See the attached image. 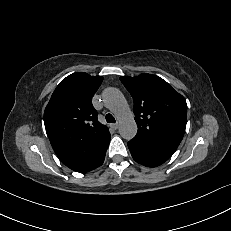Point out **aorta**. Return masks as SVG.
Wrapping results in <instances>:
<instances>
[{
	"label": "aorta",
	"instance_id": "1",
	"mask_svg": "<svg viewBox=\"0 0 231 231\" xmlns=\"http://www.w3.org/2000/svg\"><path fill=\"white\" fill-rule=\"evenodd\" d=\"M105 106L112 111L119 121V134L122 138L130 140L137 133V124L132 111L120 90L117 88H107L102 94Z\"/></svg>",
	"mask_w": 231,
	"mask_h": 231
}]
</instances>
